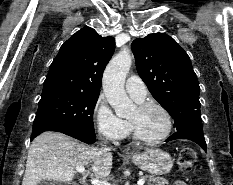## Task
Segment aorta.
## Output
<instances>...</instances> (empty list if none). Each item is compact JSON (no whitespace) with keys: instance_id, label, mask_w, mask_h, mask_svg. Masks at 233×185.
Listing matches in <instances>:
<instances>
[{"instance_id":"762f6f07","label":"aorta","mask_w":233,"mask_h":185,"mask_svg":"<svg viewBox=\"0 0 233 185\" xmlns=\"http://www.w3.org/2000/svg\"><path fill=\"white\" fill-rule=\"evenodd\" d=\"M132 58L130 52L122 50L107 65L103 75L105 96L120 118H125L134 109L133 102L127 96L124 83L130 70Z\"/></svg>"}]
</instances>
